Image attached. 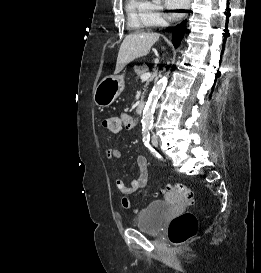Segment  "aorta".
Here are the masks:
<instances>
[{"mask_svg": "<svg viewBox=\"0 0 261 273\" xmlns=\"http://www.w3.org/2000/svg\"><path fill=\"white\" fill-rule=\"evenodd\" d=\"M158 3L160 0H153ZM167 84V78L163 76L153 86L151 93L149 94L148 100L145 104L142 117V125L144 129H151L153 126V115L157 105V102L162 95Z\"/></svg>", "mask_w": 261, "mask_h": 273, "instance_id": "aorta-1", "label": "aorta"}]
</instances>
